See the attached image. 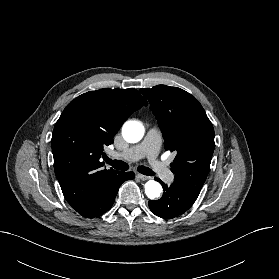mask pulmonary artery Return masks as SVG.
Wrapping results in <instances>:
<instances>
[{
    "label": "pulmonary artery",
    "instance_id": "pulmonary-artery-1",
    "mask_svg": "<svg viewBox=\"0 0 279 279\" xmlns=\"http://www.w3.org/2000/svg\"><path fill=\"white\" fill-rule=\"evenodd\" d=\"M161 145V133L156 128H151L144 140L137 146L129 148L123 152H115L113 156L127 161H136L147 157L153 167V170L165 181L172 180L173 175L166 165L157 160V154Z\"/></svg>",
    "mask_w": 279,
    "mask_h": 279
}]
</instances>
